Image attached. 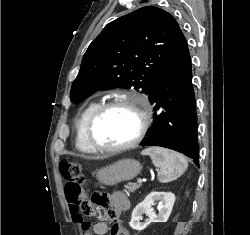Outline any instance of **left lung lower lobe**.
<instances>
[{
	"label": "left lung lower lobe",
	"mask_w": 250,
	"mask_h": 235,
	"mask_svg": "<svg viewBox=\"0 0 250 235\" xmlns=\"http://www.w3.org/2000/svg\"><path fill=\"white\" fill-rule=\"evenodd\" d=\"M154 123L143 146H160L183 153L199 167L197 115L191 58L180 33L148 92Z\"/></svg>",
	"instance_id": "obj_1"
}]
</instances>
